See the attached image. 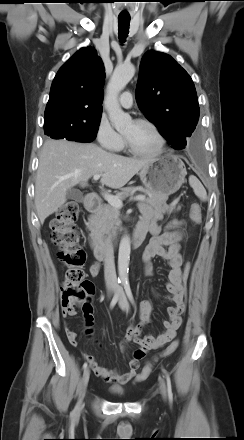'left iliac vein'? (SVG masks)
Segmentation results:
<instances>
[{
  "label": "left iliac vein",
  "mask_w": 244,
  "mask_h": 440,
  "mask_svg": "<svg viewBox=\"0 0 244 440\" xmlns=\"http://www.w3.org/2000/svg\"><path fill=\"white\" fill-rule=\"evenodd\" d=\"M119 306L122 310H124L126 312L129 311V303H128L126 295L122 289H120V291H119ZM160 389H161L162 397L165 399L166 398V387H165V383L162 379H160Z\"/></svg>",
  "instance_id": "1"
}]
</instances>
